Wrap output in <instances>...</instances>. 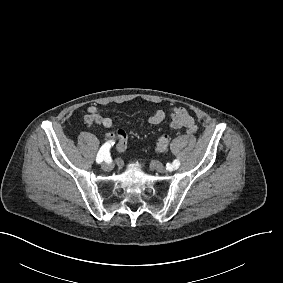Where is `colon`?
Segmentation results:
<instances>
[{"instance_id":"colon-1","label":"colon","mask_w":283,"mask_h":283,"mask_svg":"<svg viewBox=\"0 0 283 283\" xmlns=\"http://www.w3.org/2000/svg\"><path fill=\"white\" fill-rule=\"evenodd\" d=\"M170 142V136L168 134L161 135L156 141V149L159 151L165 150Z\"/></svg>"}]
</instances>
